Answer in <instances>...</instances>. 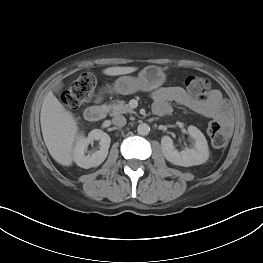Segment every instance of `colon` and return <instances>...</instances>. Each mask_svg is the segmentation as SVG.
Returning a JSON list of instances; mask_svg holds the SVG:
<instances>
[{"label":"colon","instance_id":"obj_1","mask_svg":"<svg viewBox=\"0 0 263 263\" xmlns=\"http://www.w3.org/2000/svg\"><path fill=\"white\" fill-rule=\"evenodd\" d=\"M95 86L96 80L93 75L89 73L80 75L62 93L63 105L68 110L79 109L93 96ZM185 86L188 93L195 98L204 97L210 90L209 80L195 75L186 78ZM207 132L215 148H223L226 146L228 138L218 121H210L207 126Z\"/></svg>","mask_w":263,"mask_h":263}]
</instances>
